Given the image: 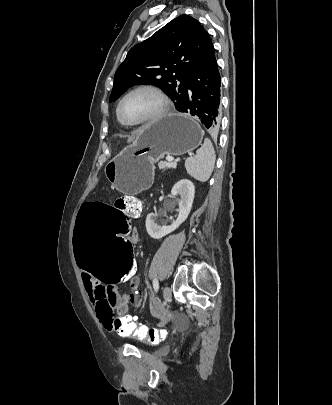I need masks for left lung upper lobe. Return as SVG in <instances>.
Masks as SVG:
<instances>
[{"label": "left lung upper lobe", "instance_id": "1", "mask_svg": "<svg viewBox=\"0 0 332 405\" xmlns=\"http://www.w3.org/2000/svg\"><path fill=\"white\" fill-rule=\"evenodd\" d=\"M212 46L209 34L198 20L188 15L173 19L130 49L115 73L109 101L118 99L131 86L153 84L176 105L187 92L191 73Z\"/></svg>", "mask_w": 332, "mask_h": 405}]
</instances>
